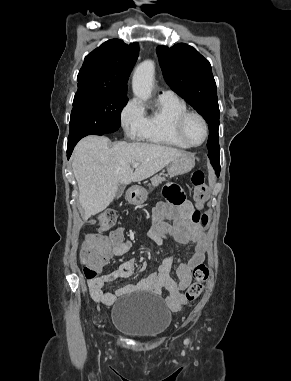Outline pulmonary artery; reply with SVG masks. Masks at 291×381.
I'll return each instance as SVG.
<instances>
[{"instance_id":"pulmonary-artery-1","label":"pulmonary artery","mask_w":291,"mask_h":381,"mask_svg":"<svg viewBox=\"0 0 291 381\" xmlns=\"http://www.w3.org/2000/svg\"><path fill=\"white\" fill-rule=\"evenodd\" d=\"M159 96L172 97V96H175V94L171 90H161L159 93Z\"/></svg>"}]
</instances>
